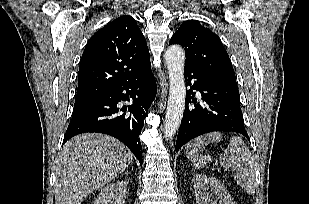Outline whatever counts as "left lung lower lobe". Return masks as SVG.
Returning <instances> with one entry per match:
<instances>
[{"label":"left lung lower lobe","instance_id":"1","mask_svg":"<svg viewBox=\"0 0 309 204\" xmlns=\"http://www.w3.org/2000/svg\"><path fill=\"white\" fill-rule=\"evenodd\" d=\"M187 85V105L176 141V152L191 139L213 131H230L249 136L243 123L236 82L213 76L205 71L184 69ZM201 93L203 104L197 103L195 92ZM189 103H194L188 106Z\"/></svg>","mask_w":309,"mask_h":204}]
</instances>
